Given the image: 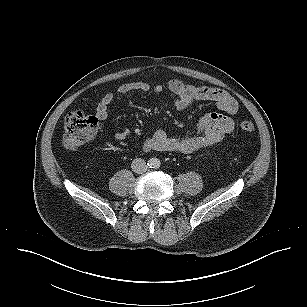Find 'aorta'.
<instances>
[{
    "instance_id": "1",
    "label": "aorta",
    "mask_w": 307,
    "mask_h": 307,
    "mask_svg": "<svg viewBox=\"0 0 307 307\" xmlns=\"http://www.w3.org/2000/svg\"><path fill=\"white\" fill-rule=\"evenodd\" d=\"M150 166L153 168L159 167L160 166V160L157 158H151L150 159Z\"/></svg>"
}]
</instances>
